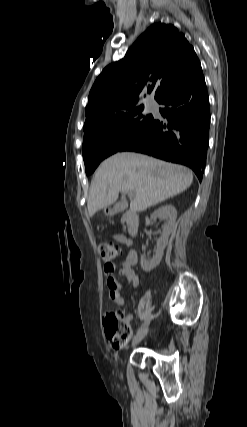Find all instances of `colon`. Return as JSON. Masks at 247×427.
<instances>
[{
	"label": "colon",
	"instance_id": "5ec220e1",
	"mask_svg": "<svg viewBox=\"0 0 247 427\" xmlns=\"http://www.w3.org/2000/svg\"><path fill=\"white\" fill-rule=\"evenodd\" d=\"M120 247L114 243H104L99 247L102 260L112 263L120 254ZM105 334L114 349H123L131 337L130 324L123 318L121 312L109 311L104 317Z\"/></svg>",
	"mask_w": 247,
	"mask_h": 427
}]
</instances>
